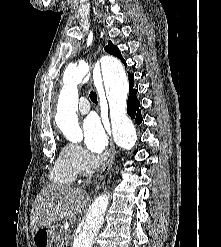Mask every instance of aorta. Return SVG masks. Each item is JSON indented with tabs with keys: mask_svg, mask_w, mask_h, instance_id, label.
<instances>
[{
	"mask_svg": "<svg viewBox=\"0 0 221 247\" xmlns=\"http://www.w3.org/2000/svg\"><path fill=\"white\" fill-rule=\"evenodd\" d=\"M90 67L86 62L66 68L63 76L56 122L67 139L79 142L83 138L78 125L76 111L78 110V85L89 73ZM101 73L106 96L110 108V119L114 139L118 146L131 149L137 141L136 129L126 115L128 80L121 62L113 57H106L101 62ZM109 204L107 195H100L93 202L86 220L73 242V247H92L94 238L100 230L104 215Z\"/></svg>",
	"mask_w": 221,
	"mask_h": 247,
	"instance_id": "aorta-1",
	"label": "aorta"
}]
</instances>
